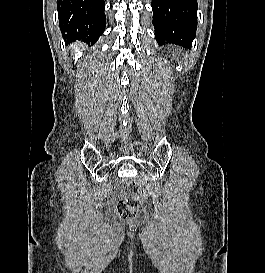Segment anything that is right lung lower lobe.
I'll return each instance as SVG.
<instances>
[{
    "label": "right lung lower lobe",
    "mask_w": 265,
    "mask_h": 273,
    "mask_svg": "<svg viewBox=\"0 0 265 273\" xmlns=\"http://www.w3.org/2000/svg\"><path fill=\"white\" fill-rule=\"evenodd\" d=\"M104 0H58L59 27L66 43L81 40L93 45L104 32Z\"/></svg>",
    "instance_id": "1"
}]
</instances>
